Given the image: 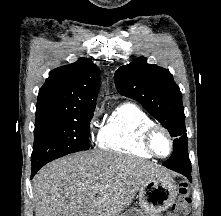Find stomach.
Masks as SVG:
<instances>
[{
    "instance_id": "obj_1",
    "label": "stomach",
    "mask_w": 221,
    "mask_h": 216,
    "mask_svg": "<svg viewBox=\"0 0 221 216\" xmlns=\"http://www.w3.org/2000/svg\"><path fill=\"white\" fill-rule=\"evenodd\" d=\"M177 187L173 179L155 177L139 189V204L142 211L129 210L120 216H161L160 214L174 204Z\"/></svg>"
}]
</instances>
